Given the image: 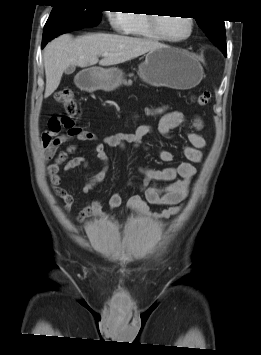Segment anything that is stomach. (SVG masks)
I'll return each mask as SVG.
<instances>
[{"instance_id":"1","label":"stomach","mask_w":261,"mask_h":355,"mask_svg":"<svg viewBox=\"0 0 261 355\" xmlns=\"http://www.w3.org/2000/svg\"><path fill=\"white\" fill-rule=\"evenodd\" d=\"M138 72L141 79L150 85L176 89L198 85L204 73L200 62L191 54L168 46L149 51ZM85 74L82 86L87 89L112 91L123 81V71L116 67L91 68Z\"/></svg>"}]
</instances>
